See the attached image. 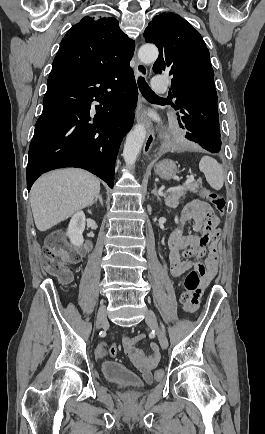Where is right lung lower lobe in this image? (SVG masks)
Returning a JSON list of instances; mask_svg holds the SVG:
<instances>
[{
    "label": "right lung lower lobe",
    "mask_w": 265,
    "mask_h": 434,
    "mask_svg": "<svg viewBox=\"0 0 265 434\" xmlns=\"http://www.w3.org/2000/svg\"><path fill=\"white\" fill-rule=\"evenodd\" d=\"M137 96L129 62L99 72L52 70L29 147L28 191L40 175L64 167L86 169L113 188L115 160L132 127ZM94 100L103 107L94 110Z\"/></svg>",
    "instance_id": "right-lung-lower-lobe-1"
}]
</instances>
